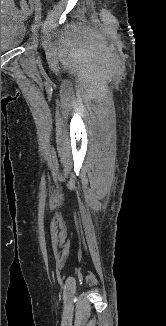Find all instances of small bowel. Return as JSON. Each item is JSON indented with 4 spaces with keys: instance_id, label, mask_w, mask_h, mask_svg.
Segmentation results:
<instances>
[{
    "instance_id": "1",
    "label": "small bowel",
    "mask_w": 166,
    "mask_h": 326,
    "mask_svg": "<svg viewBox=\"0 0 166 326\" xmlns=\"http://www.w3.org/2000/svg\"><path fill=\"white\" fill-rule=\"evenodd\" d=\"M1 5L7 6L13 12H17L13 5V0H1Z\"/></svg>"
}]
</instances>
